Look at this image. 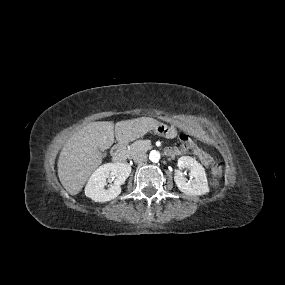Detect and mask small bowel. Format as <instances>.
Instances as JSON below:
<instances>
[{"mask_svg":"<svg viewBox=\"0 0 285 285\" xmlns=\"http://www.w3.org/2000/svg\"><path fill=\"white\" fill-rule=\"evenodd\" d=\"M183 149L191 151L200 160V162L204 166L209 167L212 165L213 163L212 156L207 151L203 150L202 148L195 146L192 149H188L183 146ZM183 149L179 147H169L166 149V154L169 155V153L172 152L173 156H176V155H179L183 151Z\"/></svg>","mask_w":285,"mask_h":285,"instance_id":"c3829d8e","label":"small bowel"}]
</instances>
